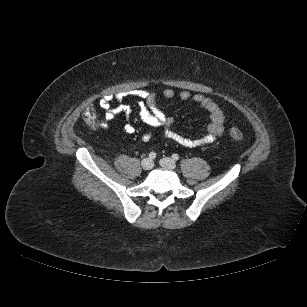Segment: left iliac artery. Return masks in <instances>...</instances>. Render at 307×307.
<instances>
[{
	"label": "left iliac artery",
	"mask_w": 307,
	"mask_h": 307,
	"mask_svg": "<svg viewBox=\"0 0 307 307\" xmlns=\"http://www.w3.org/2000/svg\"><path fill=\"white\" fill-rule=\"evenodd\" d=\"M172 158H173L174 160H178V159H179V155L174 153V154L172 155Z\"/></svg>",
	"instance_id": "left-iliac-artery-1"
}]
</instances>
